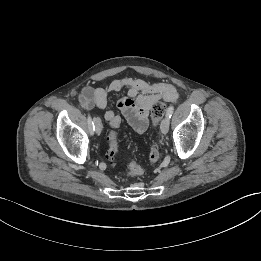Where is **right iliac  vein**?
<instances>
[{
  "label": "right iliac vein",
  "instance_id": "63e3f726",
  "mask_svg": "<svg viewBox=\"0 0 261 261\" xmlns=\"http://www.w3.org/2000/svg\"><path fill=\"white\" fill-rule=\"evenodd\" d=\"M94 122H95V132L97 134H100L102 131V124L101 121L98 118H94Z\"/></svg>",
  "mask_w": 261,
  "mask_h": 261
}]
</instances>
